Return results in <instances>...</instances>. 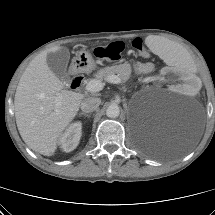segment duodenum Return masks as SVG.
Wrapping results in <instances>:
<instances>
[{
    "instance_id": "duodenum-1",
    "label": "duodenum",
    "mask_w": 215,
    "mask_h": 215,
    "mask_svg": "<svg viewBox=\"0 0 215 215\" xmlns=\"http://www.w3.org/2000/svg\"><path fill=\"white\" fill-rule=\"evenodd\" d=\"M83 81H84L83 76L73 71V74L71 77L72 88H79L82 85Z\"/></svg>"
}]
</instances>
